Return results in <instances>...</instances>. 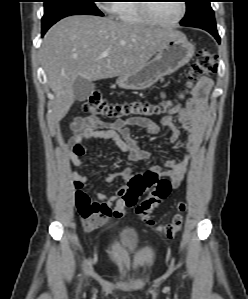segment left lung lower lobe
I'll return each mask as SVG.
<instances>
[{"label": "left lung lower lobe", "mask_w": 248, "mask_h": 299, "mask_svg": "<svg viewBox=\"0 0 248 299\" xmlns=\"http://www.w3.org/2000/svg\"><path fill=\"white\" fill-rule=\"evenodd\" d=\"M201 29H204V30L208 31L210 34H212L216 38L218 43H220V37L218 35L216 27H204V28H201Z\"/></svg>", "instance_id": "0a47b994"}]
</instances>
